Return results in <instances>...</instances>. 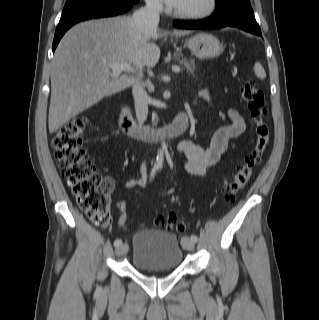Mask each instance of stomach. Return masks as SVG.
I'll list each match as a JSON object with an SVG mask.
<instances>
[{
  "label": "stomach",
  "instance_id": "0dacf381",
  "mask_svg": "<svg viewBox=\"0 0 319 320\" xmlns=\"http://www.w3.org/2000/svg\"><path fill=\"white\" fill-rule=\"evenodd\" d=\"M192 55L203 58H215L223 52L220 41L209 33H198L185 41Z\"/></svg>",
  "mask_w": 319,
  "mask_h": 320
}]
</instances>
